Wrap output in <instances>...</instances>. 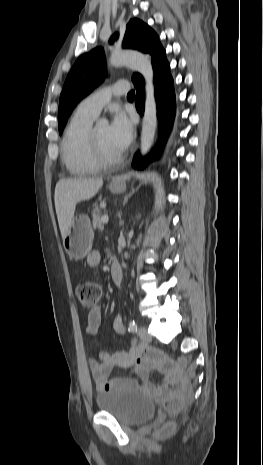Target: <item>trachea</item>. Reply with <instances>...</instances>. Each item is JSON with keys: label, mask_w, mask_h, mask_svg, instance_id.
<instances>
[{"label": "trachea", "mask_w": 263, "mask_h": 465, "mask_svg": "<svg viewBox=\"0 0 263 465\" xmlns=\"http://www.w3.org/2000/svg\"><path fill=\"white\" fill-rule=\"evenodd\" d=\"M134 96H135L134 90L130 91L127 95L128 98H134Z\"/></svg>", "instance_id": "3493384b"}]
</instances>
